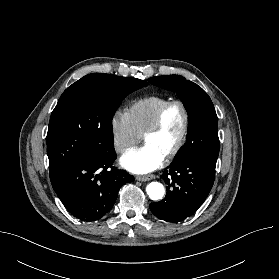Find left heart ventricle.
<instances>
[{
	"mask_svg": "<svg viewBox=\"0 0 279 279\" xmlns=\"http://www.w3.org/2000/svg\"><path fill=\"white\" fill-rule=\"evenodd\" d=\"M183 127V113L178 105L170 107L160 129L149 135L145 143L166 156L177 143Z\"/></svg>",
	"mask_w": 279,
	"mask_h": 279,
	"instance_id": "left-heart-ventricle-1",
	"label": "left heart ventricle"
}]
</instances>
